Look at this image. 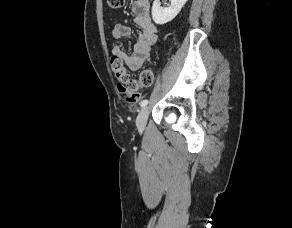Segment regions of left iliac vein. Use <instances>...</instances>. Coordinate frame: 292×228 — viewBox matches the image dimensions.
<instances>
[{
	"label": "left iliac vein",
	"instance_id": "1",
	"mask_svg": "<svg viewBox=\"0 0 292 228\" xmlns=\"http://www.w3.org/2000/svg\"><path fill=\"white\" fill-rule=\"evenodd\" d=\"M148 116H149V108L147 106H144L139 111V114L136 119V126L140 131L144 130L147 124Z\"/></svg>",
	"mask_w": 292,
	"mask_h": 228
}]
</instances>
